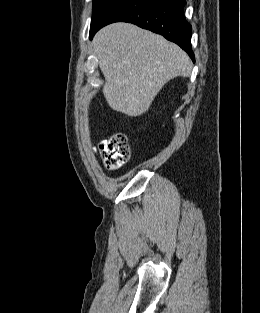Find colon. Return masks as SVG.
<instances>
[{
    "instance_id": "5ec220e1",
    "label": "colon",
    "mask_w": 260,
    "mask_h": 313,
    "mask_svg": "<svg viewBox=\"0 0 260 313\" xmlns=\"http://www.w3.org/2000/svg\"><path fill=\"white\" fill-rule=\"evenodd\" d=\"M98 150L109 171L119 169L130 157V147L124 133L113 134L110 138L101 141Z\"/></svg>"
}]
</instances>
